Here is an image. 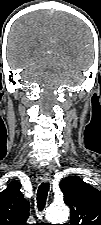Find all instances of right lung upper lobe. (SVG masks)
I'll use <instances>...</instances> for the list:
<instances>
[{
    "label": "right lung upper lobe",
    "instance_id": "1",
    "mask_svg": "<svg viewBox=\"0 0 101 225\" xmlns=\"http://www.w3.org/2000/svg\"><path fill=\"white\" fill-rule=\"evenodd\" d=\"M20 188L18 181H11L0 193V225H27L29 202Z\"/></svg>",
    "mask_w": 101,
    "mask_h": 225
}]
</instances>
